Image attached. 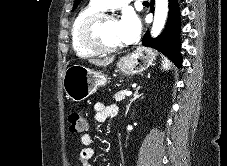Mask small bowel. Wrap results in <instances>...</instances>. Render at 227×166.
Here are the masks:
<instances>
[{"label": "small bowel", "mask_w": 227, "mask_h": 166, "mask_svg": "<svg viewBox=\"0 0 227 166\" xmlns=\"http://www.w3.org/2000/svg\"><path fill=\"white\" fill-rule=\"evenodd\" d=\"M95 117L99 122H103L109 118H113L118 113V107L116 105H104L103 103H96L94 105ZM81 142L84 148L80 152L79 163L80 166H92L91 159L95 154V150L92 147L93 137L89 133H84L81 136Z\"/></svg>", "instance_id": "small-bowel-1"}]
</instances>
